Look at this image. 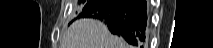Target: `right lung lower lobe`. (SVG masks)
<instances>
[{
  "label": "right lung lower lobe",
  "instance_id": "98d812e1",
  "mask_svg": "<svg viewBox=\"0 0 213 48\" xmlns=\"http://www.w3.org/2000/svg\"><path fill=\"white\" fill-rule=\"evenodd\" d=\"M79 18H97L110 32L122 36L129 44L142 47L145 40V0H89Z\"/></svg>",
  "mask_w": 213,
  "mask_h": 48
}]
</instances>
